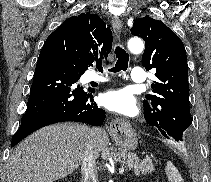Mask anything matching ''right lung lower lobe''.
<instances>
[{"instance_id": "obj_1", "label": "right lung lower lobe", "mask_w": 211, "mask_h": 182, "mask_svg": "<svg viewBox=\"0 0 211 182\" xmlns=\"http://www.w3.org/2000/svg\"><path fill=\"white\" fill-rule=\"evenodd\" d=\"M80 50L76 38L63 25L47 38L37 60L27 111L13 136L11 147L53 123L103 124L105 111L93 101L94 90H84L76 85L88 69Z\"/></svg>"}]
</instances>
